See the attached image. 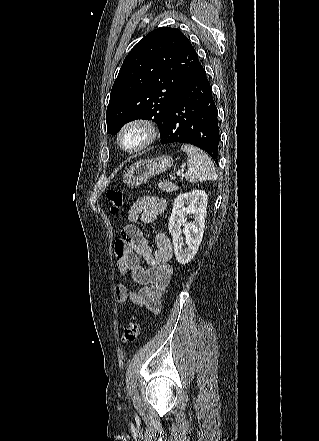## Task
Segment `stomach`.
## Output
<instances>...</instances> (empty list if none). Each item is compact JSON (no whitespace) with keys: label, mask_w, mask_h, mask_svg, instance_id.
I'll use <instances>...</instances> for the list:
<instances>
[{"label":"stomach","mask_w":319,"mask_h":441,"mask_svg":"<svg viewBox=\"0 0 319 441\" xmlns=\"http://www.w3.org/2000/svg\"><path fill=\"white\" fill-rule=\"evenodd\" d=\"M172 165L173 159L168 155L137 161L127 169L122 182L131 187L139 186L151 177L167 171Z\"/></svg>","instance_id":"1"}]
</instances>
